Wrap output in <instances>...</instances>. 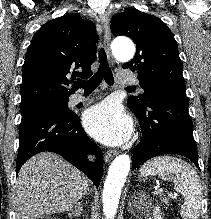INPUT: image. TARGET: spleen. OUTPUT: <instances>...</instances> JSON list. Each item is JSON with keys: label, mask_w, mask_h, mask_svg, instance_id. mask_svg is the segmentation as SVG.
I'll return each instance as SVG.
<instances>
[{"label": "spleen", "mask_w": 211, "mask_h": 219, "mask_svg": "<svg viewBox=\"0 0 211 219\" xmlns=\"http://www.w3.org/2000/svg\"><path fill=\"white\" fill-rule=\"evenodd\" d=\"M141 176H160L171 180L174 189L185 201L180 210L183 219H199L202 187L194 168L187 162L172 156L157 157L146 162L140 169Z\"/></svg>", "instance_id": "obj_1"}]
</instances>
